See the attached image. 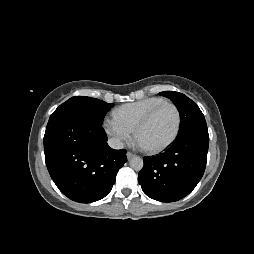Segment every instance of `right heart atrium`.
<instances>
[{"instance_id":"obj_1","label":"right heart atrium","mask_w":254,"mask_h":254,"mask_svg":"<svg viewBox=\"0 0 254 254\" xmlns=\"http://www.w3.org/2000/svg\"><path fill=\"white\" fill-rule=\"evenodd\" d=\"M103 128L112 143L118 147L130 142L134 136V130L118 120L114 115L104 120Z\"/></svg>"}]
</instances>
